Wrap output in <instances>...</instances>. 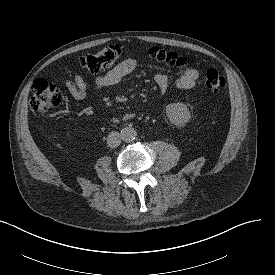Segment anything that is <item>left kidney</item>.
Instances as JSON below:
<instances>
[{
    "label": "left kidney",
    "mask_w": 275,
    "mask_h": 275,
    "mask_svg": "<svg viewBox=\"0 0 275 275\" xmlns=\"http://www.w3.org/2000/svg\"><path fill=\"white\" fill-rule=\"evenodd\" d=\"M166 114L169 120L176 126L186 125L190 118V112L187 106L183 103H173L166 107Z\"/></svg>",
    "instance_id": "5707ae66"
}]
</instances>
